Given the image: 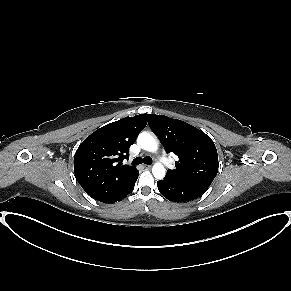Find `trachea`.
Listing matches in <instances>:
<instances>
[{
	"label": "trachea",
	"instance_id": "1",
	"mask_svg": "<svg viewBox=\"0 0 291 291\" xmlns=\"http://www.w3.org/2000/svg\"><path fill=\"white\" fill-rule=\"evenodd\" d=\"M147 164V165H150L152 164V159L150 157H144L143 159L140 158V157H136L133 161H132V164L133 165H139V164Z\"/></svg>",
	"mask_w": 291,
	"mask_h": 291
}]
</instances>
